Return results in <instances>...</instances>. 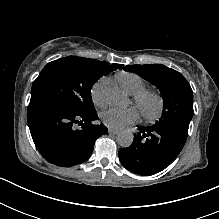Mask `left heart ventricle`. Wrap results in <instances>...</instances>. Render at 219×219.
<instances>
[{"instance_id":"left-heart-ventricle-1","label":"left heart ventricle","mask_w":219,"mask_h":219,"mask_svg":"<svg viewBox=\"0 0 219 219\" xmlns=\"http://www.w3.org/2000/svg\"><path fill=\"white\" fill-rule=\"evenodd\" d=\"M141 108L147 113V114H153L156 111L157 104L156 101L152 98H149L143 102L141 105Z\"/></svg>"}]
</instances>
